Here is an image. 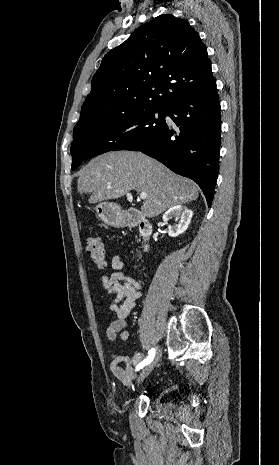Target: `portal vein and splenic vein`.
<instances>
[{
	"mask_svg": "<svg viewBox=\"0 0 279 465\" xmlns=\"http://www.w3.org/2000/svg\"><path fill=\"white\" fill-rule=\"evenodd\" d=\"M140 198L145 200L147 198V194L145 192L140 193Z\"/></svg>",
	"mask_w": 279,
	"mask_h": 465,
	"instance_id": "obj_1",
	"label": "portal vein and splenic vein"
}]
</instances>
